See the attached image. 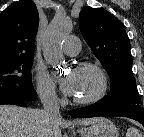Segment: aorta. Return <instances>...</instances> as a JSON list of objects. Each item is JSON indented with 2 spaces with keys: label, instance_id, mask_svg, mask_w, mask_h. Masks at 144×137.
<instances>
[{
  "label": "aorta",
  "instance_id": "1",
  "mask_svg": "<svg viewBox=\"0 0 144 137\" xmlns=\"http://www.w3.org/2000/svg\"><path fill=\"white\" fill-rule=\"evenodd\" d=\"M72 29V22L65 16H55L48 26L43 42V55L46 62L54 67L63 61V41Z\"/></svg>",
  "mask_w": 144,
  "mask_h": 137
}]
</instances>
